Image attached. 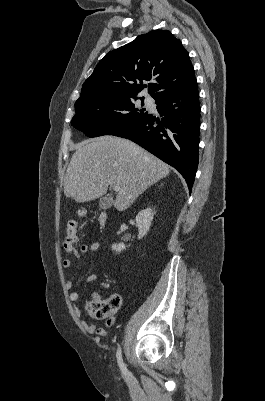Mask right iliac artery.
Masks as SVG:
<instances>
[{
  "mask_svg": "<svg viewBox=\"0 0 265 401\" xmlns=\"http://www.w3.org/2000/svg\"><path fill=\"white\" fill-rule=\"evenodd\" d=\"M116 357H117V362H118V365H119L122 373L124 375H127L128 374V370L126 368V364L123 362L122 352H121L120 346L118 347V350H117V353H116Z\"/></svg>",
  "mask_w": 265,
  "mask_h": 401,
  "instance_id": "1",
  "label": "right iliac artery"
}]
</instances>
